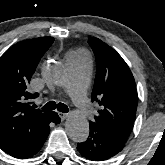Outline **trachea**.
<instances>
[{
	"label": "trachea",
	"mask_w": 165,
	"mask_h": 165,
	"mask_svg": "<svg viewBox=\"0 0 165 165\" xmlns=\"http://www.w3.org/2000/svg\"><path fill=\"white\" fill-rule=\"evenodd\" d=\"M57 108L58 111L67 113L69 111L68 106L63 103L56 104L55 101H49L46 105L42 107L43 110H55Z\"/></svg>",
	"instance_id": "3493384b"
}]
</instances>
